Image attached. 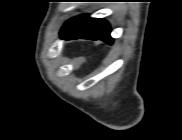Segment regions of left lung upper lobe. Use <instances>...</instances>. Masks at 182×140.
<instances>
[{"label": "left lung upper lobe", "mask_w": 182, "mask_h": 140, "mask_svg": "<svg viewBox=\"0 0 182 140\" xmlns=\"http://www.w3.org/2000/svg\"><path fill=\"white\" fill-rule=\"evenodd\" d=\"M87 16L88 15H81L79 17L72 18L69 21H67L63 26V28L61 29L60 35L67 33L69 30L78 25L82 20H84Z\"/></svg>", "instance_id": "obj_1"}]
</instances>
